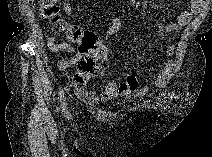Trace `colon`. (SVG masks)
<instances>
[{
	"instance_id": "5ec220e1",
	"label": "colon",
	"mask_w": 212,
	"mask_h": 157,
	"mask_svg": "<svg viewBox=\"0 0 212 157\" xmlns=\"http://www.w3.org/2000/svg\"><path fill=\"white\" fill-rule=\"evenodd\" d=\"M33 7L43 19L64 32L70 40L81 43L79 51L84 54V58L79 62L77 73L74 75L76 86L83 87L108 67L107 47L95 34L86 33L79 26L64 21L58 5L54 1L35 0Z\"/></svg>"
}]
</instances>
